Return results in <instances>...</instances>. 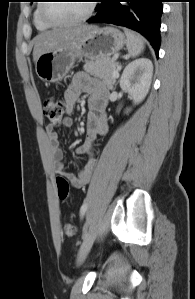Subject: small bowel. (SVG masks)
I'll list each match as a JSON object with an SVG mask.
<instances>
[{
    "label": "small bowel",
    "instance_id": "1",
    "mask_svg": "<svg viewBox=\"0 0 195 299\" xmlns=\"http://www.w3.org/2000/svg\"><path fill=\"white\" fill-rule=\"evenodd\" d=\"M83 94L89 96L90 112L87 116L85 142L77 147L76 154L89 155V159L77 175L68 172L63 164V152L59 146V136L55 132L54 126H46V136L55 171L57 174L67 178L71 186L76 189L82 188L89 182L95 168V159L92 153L93 143L97 136L103 134L107 129L105 109L108 90L102 83L88 77L84 73L75 74L65 91L66 112L70 114L74 111L76 102ZM62 125L69 128L72 126V120L64 118Z\"/></svg>",
    "mask_w": 195,
    "mask_h": 299
}]
</instances>
